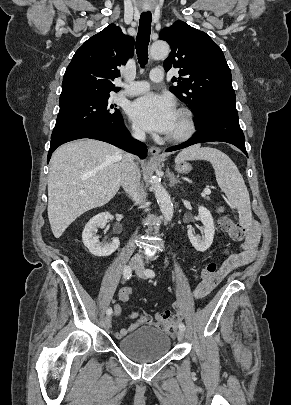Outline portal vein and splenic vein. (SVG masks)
Wrapping results in <instances>:
<instances>
[{
	"instance_id": "1",
	"label": "portal vein and splenic vein",
	"mask_w": 291,
	"mask_h": 405,
	"mask_svg": "<svg viewBox=\"0 0 291 405\" xmlns=\"http://www.w3.org/2000/svg\"><path fill=\"white\" fill-rule=\"evenodd\" d=\"M211 193V190L209 188H205L203 190V195H209Z\"/></svg>"
}]
</instances>
